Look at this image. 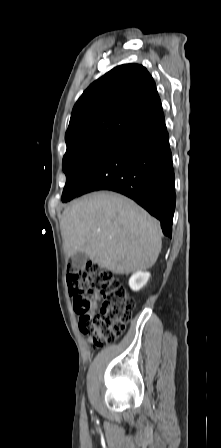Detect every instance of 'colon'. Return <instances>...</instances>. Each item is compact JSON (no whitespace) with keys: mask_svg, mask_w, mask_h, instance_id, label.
<instances>
[{"mask_svg":"<svg viewBox=\"0 0 221 448\" xmlns=\"http://www.w3.org/2000/svg\"><path fill=\"white\" fill-rule=\"evenodd\" d=\"M67 284L79 329L89 336L93 349L115 341L125 330L134 307L125 287L114 274L96 264L68 273ZM102 300L100 311L92 310Z\"/></svg>","mask_w":221,"mask_h":448,"instance_id":"obj_1","label":"colon"}]
</instances>
